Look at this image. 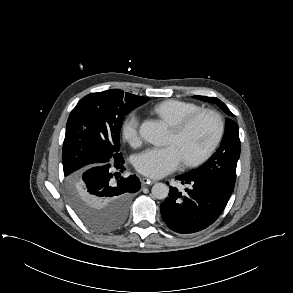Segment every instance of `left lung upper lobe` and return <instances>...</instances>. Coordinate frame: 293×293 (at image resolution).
Listing matches in <instances>:
<instances>
[{
	"mask_svg": "<svg viewBox=\"0 0 293 293\" xmlns=\"http://www.w3.org/2000/svg\"><path fill=\"white\" fill-rule=\"evenodd\" d=\"M197 99L217 104L226 114L234 116L228 107L218 98L195 96ZM240 156V139L238 125L231 119H226L225 134L220 148L198 169L191 173L204 177L219 179L231 186L235 185L236 166Z\"/></svg>",
	"mask_w": 293,
	"mask_h": 293,
	"instance_id": "5c2ea615",
	"label": "left lung upper lobe"
}]
</instances>
